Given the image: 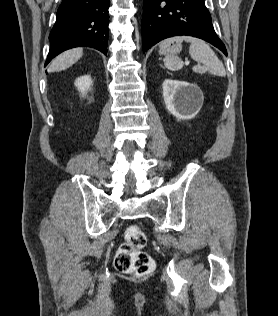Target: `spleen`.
<instances>
[{"label": "spleen", "instance_id": "3e777b00", "mask_svg": "<svg viewBox=\"0 0 278 316\" xmlns=\"http://www.w3.org/2000/svg\"><path fill=\"white\" fill-rule=\"evenodd\" d=\"M186 41L190 43L189 54L197 62L203 66L197 65L193 67V71L197 73H205L208 71L211 74L224 77L226 71L223 63L218 59L214 51L204 41L190 36H176L165 39L161 42L160 48H168L171 44ZM164 65L172 71L179 70L183 67V61L177 56H166Z\"/></svg>", "mask_w": 278, "mask_h": 316}]
</instances>
